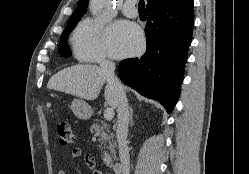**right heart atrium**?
Returning <instances> with one entry per match:
<instances>
[{"instance_id": "right-heart-atrium-1", "label": "right heart atrium", "mask_w": 249, "mask_h": 174, "mask_svg": "<svg viewBox=\"0 0 249 174\" xmlns=\"http://www.w3.org/2000/svg\"><path fill=\"white\" fill-rule=\"evenodd\" d=\"M105 23L99 18H85L72 37L76 58L82 62L104 63L109 61L103 36Z\"/></svg>"}]
</instances>
